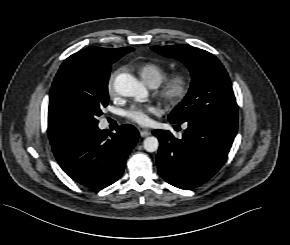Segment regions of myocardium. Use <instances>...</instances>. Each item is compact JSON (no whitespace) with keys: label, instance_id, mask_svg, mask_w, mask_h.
Instances as JSON below:
<instances>
[{"label":"myocardium","instance_id":"obj_1","mask_svg":"<svg viewBox=\"0 0 290 245\" xmlns=\"http://www.w3.org/2000/svg\"><path fill=\"white\" fill-rule=\"evenodd\" d=\"M190 86V77L185 73H177L165 81L158 91V96L167 105H177L187 96Z\"/></svg>","mask_w":290,"mask_h":245}]
</instances>
